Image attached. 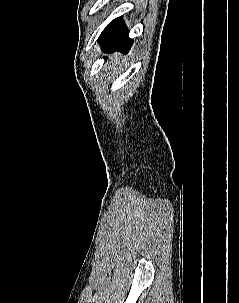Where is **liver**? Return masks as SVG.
Masks as SVG:
<instances>
[{"instance_id":"liver-1","label":"liver","mask_w":239,"mask_h":303,"mask_svg":"<svg viewBox=\"0 0 239 303\" xmlns=\"http://www.w3.org/2000/svg\"><path fill=\"white\" fill-rule=\"evenodd\" d=\"M114 58H115V61L117 62V60H118V54L114 55ZM111 60L113 61V57H111Z\"/></svg>"}]
</instances>
